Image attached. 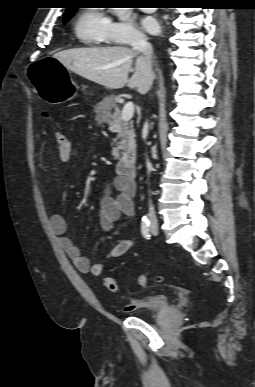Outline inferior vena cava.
<instances>
[{"instance_id":"inferior-vena-cava-1","label":"inferior vena cava","mask_w":255,"mask_h":387,"mask_svg":"<svg viewBox=\"0 0 255 387\" xmlns=\"http://www.w3.org/2000/svg\"><path fill=\"white\" fill-rule=\"evenodd\" d=\"M132 47L134 50H137L139 51L140 53H142L144 59H145V63H146V70L148 72V77H149V84L148 86L141 91L142 94L146 93L149 91L151 85H152V79H153V71H152V56H153V49H152V46L151 44L147 41V38L146 37H143V36H138L134 39L133 43H132ZM147 127H148V123L146 122L145 123V130H147ZM147 169L148 171H150L151 169V163L149 162V160H147ZM149 212H150V215H149V218H150V221L151 222H156V215H155V212H154V208L152 206V204H150V207H149Z\"/></svg>"}]
</instances>
